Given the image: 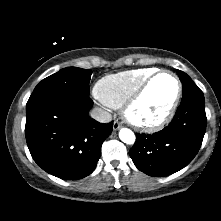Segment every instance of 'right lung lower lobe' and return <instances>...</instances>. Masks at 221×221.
Wrapping results in <instances>:
<instances>
[{"instance_id": "1", "label": "right lung lower lobe", "mask_w": 221, "mask_h": 221, "mask_svg": "<svg viewBox=\"0 0 221 221\" xmlns=\"http://www.w3.org/2000/svg\"><path fill=\"white\" fill-rule=\"evenodd\" d=\"M89 94H56L26 106L25 136L34 161L46 172L67 180L91 174L113 122L92 119Z\"/></svg>"}]
</instances>
